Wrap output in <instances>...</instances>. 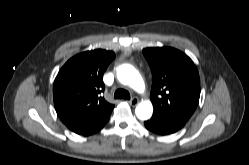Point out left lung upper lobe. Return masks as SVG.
<instances>
[{"label":"left lung upper lobe","instance_id":"1","mask_svg":"<svg viewBox=\"0 0 249 165\" xmlns=\"http://www.w3.org/2000/svg\"><path fill=\"white\" fill-rule=\"evenodd\" d=\"M152 72L150 99L154 114L187 122L200 97V79L192 60L171 47L145 48Z\"/></svg>","mask_w":249,"mask_h":165}]
</instances>
